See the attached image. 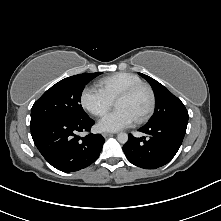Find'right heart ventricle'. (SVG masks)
Returning <instances> with one entry per match:
<instances>
[{"label":"right heart ventricle","mask_w":221,"mask_h":221,"mask_svg":"<svg viewBox=\"0 0 221 221\" xmlns=\"http://www.w3.org/2000/svg\"><path fill=\"white\" fill-rule=\"evenodd\" d=\"M141 82V78L136 74L120 72L101 79L98 87L111 101H115L122 91Z\"/></svg>","instance_id":"e07e8e85"}]
</instances>
